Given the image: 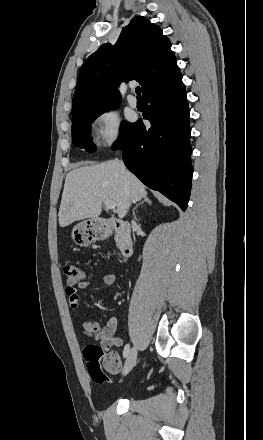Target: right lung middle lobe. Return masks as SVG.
I'll return each mask as SVG.
<instances>
[{"mask_svg": "<svg viewBox=\"0 0 263 440\" xmlns=\"http://www.w3.org/2000/svg\"><path fill=\"white\" fill-rule=\"evenodd\" d=\"M117 107V106H115ZM106 108L96 111H90L83 114H80L74 118H72V135H73V145L79 148H84L86 151L91 152L96 150V147L92 143L90 136V124L101 114L106 112L109 109L115 108ZM130 122H123L120 129V139L123 137L125 132L131 126ZM119 139V140H120Z\"/></svg>", "mask_w": 263, "mask_h": 440, "instance_id": "1", "label": "right lung middle lobe"}]
</instances>
